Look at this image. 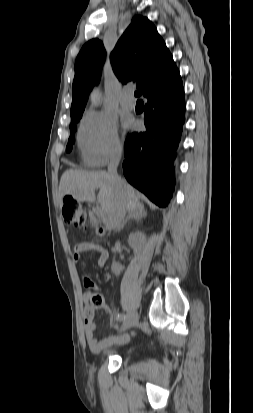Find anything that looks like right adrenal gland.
I'll list each match as a JSON object with an SVG mask.
<instances>
[{
    "label": "right adrenal gland",
    "instance_id": "2a0ac1e0",
    "mask_svg": "<svg viewBox=\"0 0 253 413\" xmlns=\"http://www.w3.org/2000/svg\"><path fill=\"white\" fill-rule=\"evenodd\" d=\"M147 216V213L142 209L139 208L137 210L131 211L129 213V215L127 216V218L123 221V223L121 224V226L119 228H117L116 231H120L124 228L125 224L129 221V220H141L142 218H145Z\"/></svg>",
    "mask_w": 253,
    "mask_h": 413
}]
</instances>
